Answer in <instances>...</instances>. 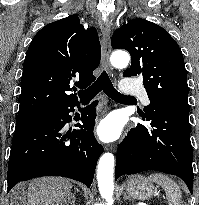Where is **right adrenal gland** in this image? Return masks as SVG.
Segmentation results:
<instances>
[{"instance_id": "right-adrenal-gland-1", "label": "right adrenal gland", "mask_w": 199, "mask_h": 205, "mask_svg": "<svg viewBox=\"0 0 199 205\" xmlns=\"http://www.w3.org/2000/svg\"><path fill=\"white\" fill-rule=\"evenodd\" d=\"M75 191H76V192H79V189H78V188H75ZM74 203H75V196H73V204H72V205H74Z\"/></svg>"}]
</instances>
